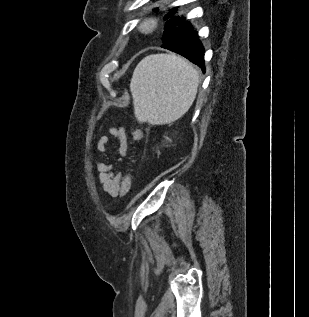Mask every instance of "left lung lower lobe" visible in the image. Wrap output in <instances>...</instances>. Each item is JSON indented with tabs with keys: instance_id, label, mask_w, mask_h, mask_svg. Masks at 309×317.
Masks as SVG:
<instances>
[{
	"instance_id": "0a47b994",
	"label": "left lung lower lobe",
	"mask_w": 309,
	"mask_h": 317,
	"mask_svg": "<svg viewBox=\"0 0 309 317\" xmlns=\"http://www.w3.org/2000/svg\"><path fill=\"white\" fill-rule=\"evenodd\" d=\"M162 48L176 52L205 70L204 47L199 40L198 32L188 23L186 28L175 37L163 43Z\"/></svg>"
}]
</instances>
